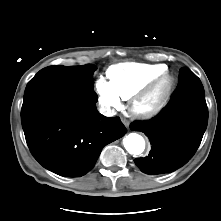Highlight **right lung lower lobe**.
<instances>
[{
  "instance_id": "right-lung-lower-lobe-1",
  "label": "right lung lower lobe",
  "mask_w": 221,
  "mask_h": 221,
  "mask_svg": "<svg viewBox=\"0 0 221 221\" xmlns=\"http://www.w3.org/2000/svg\"><path fill=\"white\" fill-rule=\"evenodd\" d=\"M93 90H77L50 83L27 85L21 109L26 142L46 169L65 177L90 171L102 148L121 138L120 118L96 109Z\"/></svg>"
}]
</instances>
